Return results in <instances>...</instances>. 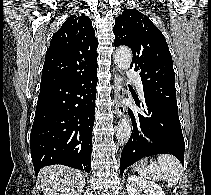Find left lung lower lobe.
<instances>
[{
  "label": "left lung lower lobe",
  "mask_w": 211,
  "mask_h": 195,
  "mask_svg": "<svg viewBox=\"0 0 211 195\" xmlns=\"http://www.w3.org/2000/svg\"><path fill=\"white\" fill-rule=\"evenodd\" d=\"M136 104L144 115L138 113L136 120L133 112L129 111L133 131L121 153V176L128 166L145 156L171 154L184 164L185 142L178 108L146 94L143 102Z\"/></svg>",
  "instance_id": "left-lung-lower-lobe-1"
}]
</instances>
